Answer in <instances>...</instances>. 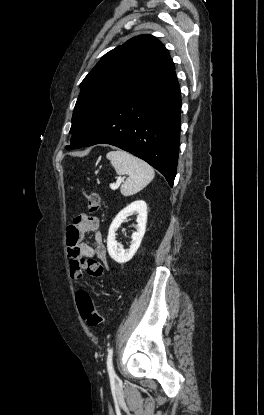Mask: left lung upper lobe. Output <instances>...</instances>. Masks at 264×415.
Masks as SVG:
<instances>
[{"mask_svg": "<svg viewBox=\"0 0 264 415\" xmlns=\"http://www.w3.org/2000/svg\"><path fill=\"white\" fill-rule=\"evenodd\" d=\"M174 70L168 50L152 35L136 36L106 53L80 84L66 149L79 148L123 99Z\"/></svg>", "mask_w": 264, "mask_h": 415, "instance_id": "obj_1", "label": "left lung upper lobe"}]
</instances>
